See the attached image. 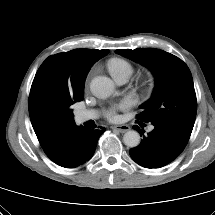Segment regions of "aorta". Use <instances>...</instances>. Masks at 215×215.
<instances>
[{"instance_id": "762f6f07", "label": "aorta", "mask_w": 215, "mask_h": 215, "mask_svg": "<svg viewBox=\"0 0 215 215\" xmlns=\"http://www.w3.org/2000/svg\"><path fill=\"white\" fill-rule=\"evenodd\" d=\"M90 90L95 97L105 99L114 93L115 86L110 78L97 76L91 81ZM123 141L130 148L137 147L140 143V135L134 130L127 131L123 136Z\"/></svg>"}]
</instances>
